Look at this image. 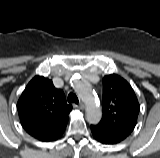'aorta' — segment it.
I'll list each match as a JSON object with an SVG mask.
<instances>
[{
  "mask_svg": "<svg viewBox=\"0 0 160 158\" xmlns=\"http://www.w3.org/2000/svg\"><path fill=\"white\" fill-rule=\"evenodd\" d=\"M73 86L87 106L86 120L90 124L99 123L102 118V111L97 104L96 97L90 84L83 80L74 79Z\"/></svg>",
  "mask_w": 160,
  "mask_h": 158,
  "instance_id": "obj_1",
  "label": "aorta"
}]
</instances>
